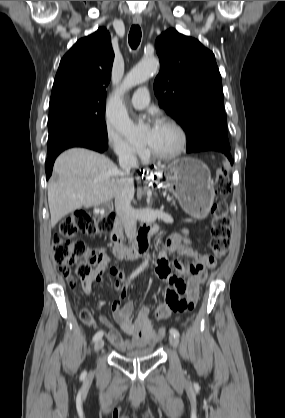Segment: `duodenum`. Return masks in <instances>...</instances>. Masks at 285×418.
<instances>
[{"mask_svg":"<svg viewBox=\"0 0 285 418\" xmlns=\"http://www.w3.org/2000/svg\"><path fill=\"white\" fill-rule=\"evenodd\" d=\"M152 231L153 229L150 232ZM110 239L112 242V253L117 259L130 260L145 256L149 250V242L146 235L139 238L133 246L125 245L122 224L119 220L111 231Z\"/></svg>","mask_w":285,"mask_h":418,"instance_id":"obj_1","label":"duodenum"}]
</instances>
